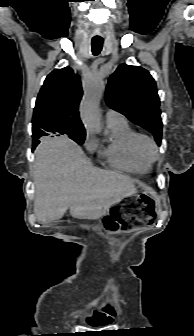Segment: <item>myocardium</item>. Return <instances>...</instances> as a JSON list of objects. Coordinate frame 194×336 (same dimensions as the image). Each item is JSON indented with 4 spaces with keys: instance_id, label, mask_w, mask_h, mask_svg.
I'll return each mask as SVG.
<instances>
[{
    "instance_id": "f54148a6",
    "label": "myocardium",
    "mask_w": 194,
    "mask_h": 336,
    "mask_svg": "<svg viewBox=\"0 0 194 336\" xmlns=\"http://www.w3.org/2000/svg\"><path fill=\"white\" fill-rule=\"evenodd\" d=\"M135 147L139 157L150 165L160 157L157 142L147 134H137Z\"/></svg>"
}]
</instances>
